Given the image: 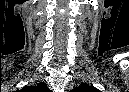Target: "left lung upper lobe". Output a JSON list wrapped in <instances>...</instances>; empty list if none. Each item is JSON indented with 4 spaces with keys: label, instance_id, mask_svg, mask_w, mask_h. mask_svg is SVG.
I'll use <instances>...</instances> for the list:
<instances>
[{
    "label": "left lung upper lobe",
    "instance_id": "1",
    "mask_svg": "<svg viewBox=\"0 0 129 92\" xmlns=\"http://www.w3.org/2000/svg\"><path fill=\"white\" fill-rule=\"evenodd\" d=\"M78 92H99L98 89H96L93 86H88L86 84H83L82 86L78 87L76 89Z\"/></svg>",
    "mask_w": 129,
    "mask_h": 92
}]
</instances>
